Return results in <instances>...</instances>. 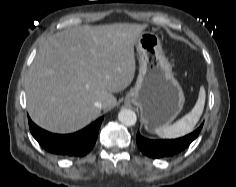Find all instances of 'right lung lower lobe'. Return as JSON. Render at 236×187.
I'll use <instances>...</instances> for the list:
<instances>
[{"label": "right lung lower lobe", "mask_w": 236, "mask_h": 187, "mask_svg": "<svg viewBox=\"0 0 236 187\" xmlns=\"http://www.w3.org/2000/svg\"><path fill=\"white\" fill-rule=\"evenodd\" d=\"M103 117L84 129L66 135L52 134L34 124L29 118V128L33 137L48 152L59 156L82 157L93 148Z\"/></svg>", "instance_id": "right-lung-lower-lobe-1"}]
</instances>
